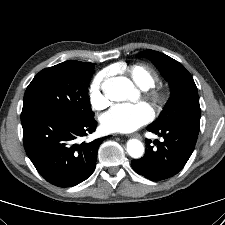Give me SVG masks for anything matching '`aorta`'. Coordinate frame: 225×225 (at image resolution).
Returning <instances> with one entry per match:
<instances>
[{"instance_id":"aorta-1","label":"aorta","mask_w":225,"mask_h":225,"mask_svg":"<svg viewBox=\"0 0 225 225\" xmlns=\"http://www.w3.org/2000/svg\"><path fill=\"white\" fill-rule=\"evenodd\" d=\"M104 95L113 101H123L135 91L133 83L126 77L118 76L106 79L102 84ZM128 154L139 159L144 155V145L138 139H130L126 144Z\"/></svg>"}]
</instances>
